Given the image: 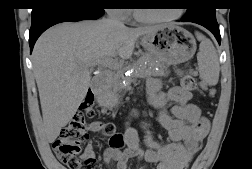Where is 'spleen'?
<instances>
[{
    "label": "spleen",
    "instance_id": "1",
    "mask_svg": "<svg viewBox=\"0 0 252 169\" xmlns=\"http://www.w3.org/2000/svg\"><path fill=\"white\" fill-rule=\"evenodd\" d=\"M200 41L197 61L201 80L209 85L215 86L219 80V60L213 43L200 33H196Z\"/></svg>",
    "mask_w": 252,
    "mask_h": 169
}]
</instances>
